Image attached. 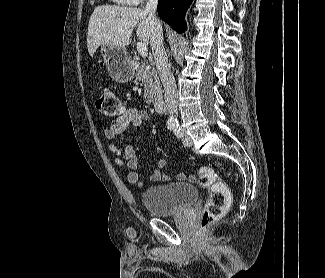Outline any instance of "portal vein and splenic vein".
Listing matches in <instances>:
<instances>
[{
  "label": "portal vein and splenic vein",
  "instance_id": "1",
  "mask_svg": "<svg viewBox=\"0 0 325 278\" xmlns=\"http://www.w3.org/2000/svg\"><path fill=\"white\" fill-rule=\"evenodd\" d=\"M137 50L138 53L142 56V57H146L148 55V48L147 45L143 42H138L137 43Z\"/></svg>",
  "mask_w": 325,
  "mask_h": 278
}]
</instances>
